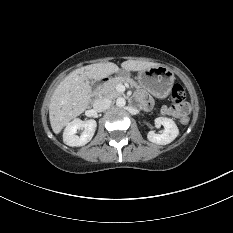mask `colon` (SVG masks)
Listing matches in <instances>:
<instances>
[{"label": "colon", "instance_id": "5ec220e1", "mask_svg": "<svg viewBox=\"0 0 233 233\" xmlns=\"http://www.w3.org/2000/svg\"><path fill=\"white\" fill-rule=\"evenodd\" d=\"M171 98L176 106H183L186 98V93L184 88L180 84H174L171 89ZM182 125H187L189 123V118L183 116L180 120Z\"/></svg>", "mask_w": 233, "mask_h": 233}]
</instances>
